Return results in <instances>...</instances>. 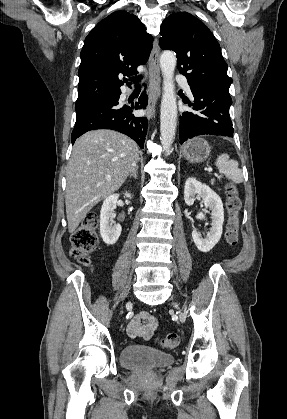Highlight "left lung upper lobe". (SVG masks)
<instances>
[{"label": "left lung upper lobe", "mask_w": 287, "mask_h": 419, "mask_svg": "<svg viewBox=\"0 0 287 419\" xmlns=\"http://www.w3.org/2000/svg\"><path fill=\"white\" fill-rule=\"evenodd\" d=\"M160 47L177 54L179 72L190 87L228 92L232 79L220 45L199 19L187 12L168 16L161 26Z\"/></svg>", "instance_id": "1"}]
</instances>
